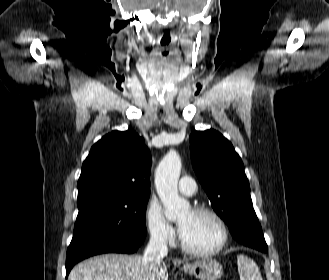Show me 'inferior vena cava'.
Wrapping results in <instances>:
<instances>
[{
  "label": "inferior vena cava",
  "instance_id": "1",
  "mask_svg": "<svg viewBox=\"0 0 329 280\" xmlns=\"http://www.w3.org/2000/svg\"><path fill=\"white\" fill-rule=\"evenodd\" d=\"M167 254V243L162 234H152L144 252V262L148 264H160Z\"/></svg>",
  "mask_w": 329,
  "mask_h": 280
}]
</instances>
